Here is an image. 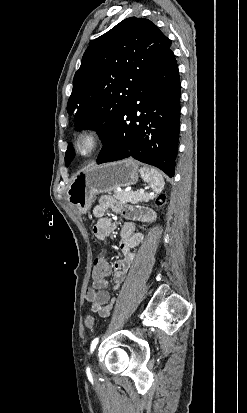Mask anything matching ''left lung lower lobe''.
<instances>
[{"label":"left lung lower lobe","instance_id":"0a47b994","mask_svg":"<svg viewBox=\"0 0 247 413\" xmlns=\"http://www.w3.org/2000/svg\"><path fill=\"white\" fill-rule=\"evenodd\" d=\"M180 78L169 49L142 80L104 143L97 164L133 157L174 176Z\"/></svg>","mask_w":247,"mask_h":413}]
</instances>
